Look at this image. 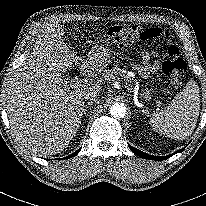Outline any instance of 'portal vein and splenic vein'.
Returning <instances> with one entry per match:
<instances>
[{"label": "portal vein and splenic vein", "instance_id": "1", "mask_svg": "<svg viewBox=\"0 0 206 206\" xmlns=\"http://www.w3.org/2000/svg\"><path fill=\"white\" fill-rule=\"evenodd\" d=\"M65 82H66V85L67 83H70L71 86H73L74 88H77L83 83V80L75 78V79H70V80L67 79Z\"/></svg>", "mask_w": 206, "mask_h": 206}]
</instances>
